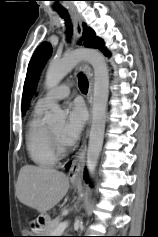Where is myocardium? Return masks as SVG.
Masks as SVG:
<instances>
[{
    "label": "myocardium",
    "instance_id": "obj_1",
    "mask_svg": "<svg viewBox=\"0 0 158 237\" xmlns=\"http://www.w3.org/2000/svg\"><path fill=\"white\" fill-rule=\"evenodd\" d=\"M49 139L56 156H63L67 152V148L56 138L51 130H49Z\"/></svg>",
    "mask_w": 158,
    "mask_h": 237
}]
</instances>
